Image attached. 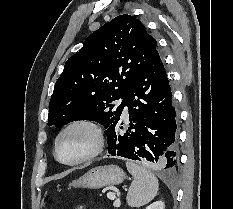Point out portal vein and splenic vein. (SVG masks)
<instances>
[{"mask_svg": "<svg viewBox=\"0 0 233 209\" xmlns=\"http://www.w3.org/2000/svg\"><path fill=\"white\" fill-rule=\"evenodd\" d=\"M107 198L110 199V200H115V199H116V196H115L114 193L109 192V193H107ZM114 206H116V207H119V206H120V199H116V200L114 201Z\"/></svg>", "mask_w": 233, "mask_h": 209, "instance_id": "1", "label": "portal vein and splenic vein"}]
</instances>
